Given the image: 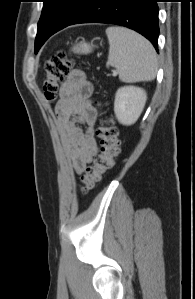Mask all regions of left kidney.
<instances>
[{"instance_id": "obj_1", "label": "left kidney", "mask_w": 195, "mask_h": 299, "mask_svg": "<svg viewBox=\"0 0 195 299\" xmlns=\"http://www.w3.org/2000/svg\"><path fill=\"white\" fill-rule=\"evenodd\" d=\"M147 99L146 92L135 86H124L117 90L114 112L123 125H132L139 118Z\"/></svg>"}]
</instances>
